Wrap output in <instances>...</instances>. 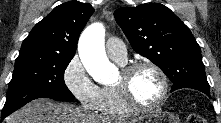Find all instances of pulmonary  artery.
<instances>
[{
    "mask_svg": "<svg viewBox=\"0 0 221 123\" xmlns=\"http://www.w3.org/2000/svg\"><path fill=\"white\" fill-rule=\"evenodd\" d=\"M106 51L112 60L119 64H125L127 60V51L124 43L119 38H109L106 42Z\"/></svg>",
    "mask_w": 221,
    "mask_h": 123,
    "instance_id": "e3ab8cb5",
    "label": "pulmonary artery"
}]
</instances>
